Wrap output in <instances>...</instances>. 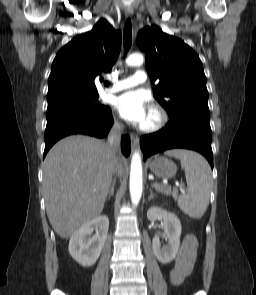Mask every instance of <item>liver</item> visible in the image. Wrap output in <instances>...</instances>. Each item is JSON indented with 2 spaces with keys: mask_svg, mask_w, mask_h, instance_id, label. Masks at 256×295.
Masks as SVG:
<instances>
[{
  "mask_svg": "<svg viewBox=\"0 0 256 295\" xmlns=\"http://www.w3.org/2000/svg\"><path fill=\"white\" fill-rule=\"evenodd\" d=\"M125 160H115L108 143L73 135L57 142L43 163L46 212L54 231L64 239L98 217L112 176L122 175Z\"/></svg>",
  "mask_w": 256,
  "mask_h": 295,
  "instance_id": "liver-1",
  "label": "liver"
}]
</instances>
